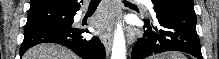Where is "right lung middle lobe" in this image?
<instances>
[{
    "label": "right lung middle lobe",
    "instance_id": "1",
    "mask_svg": "<svg viewBox=\"0 0 219 59\" xmlns=\"http://www.w3.org/2000/svg\"><path fill=\"white\" fill-rule=\"evenodd\" d=\"M70 17V11L65 9H46L28 13L24 33L45 27L60 26Z\"/></svg>",
    "mask_w": 219,
    "mask_h": 59
}]
</instances>
